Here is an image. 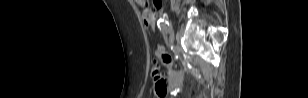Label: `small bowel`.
<instances>
[{"mask_svg": "<svg viewBox=\"0 0 308 98\" xmlns=\"http://www.w3.org/2000/svg\"><path fill=\"white\" fill-rule=\"evenodd\" d=\"M137 4L142 8V9H149L148 8V4L145 0H136ZM155 9H161L162 8V3L160 5H156L154 6ZM143 17V16H142ZM151 24H153V22H151ZM145 26V25H144ZM146 28V26H145ZM170 77H172V74H169ZM164 79V78H163ZM166 84V81H165Z\"/></svg>", "mask_w": 308, "mask_h": 98, "instance_id": "1", "label": "small bowel"}]
</instances>
